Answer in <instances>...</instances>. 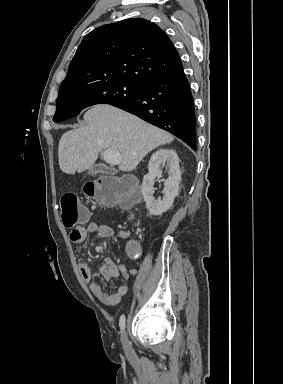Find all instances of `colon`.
Instances as JSON below:
<instances>
[{"label": "colon", "mask_w": 283, "mask_h": 384, "mask_svg": "<svg viewBox=\"0 0 283 384\" xmlns=\"http://www.w3.org/2000/svg\"><path fill=\"white\" fill-rule=\"evenodd\" d=\"M134 186L132 179L107 176L86 183L83 190L88 198L93 199L100 205L126 208L137 198ZM61 207L62 220L66 227L71 228L88 220V211L80 206L79 200L74 193H66L62 196ZM129 253L131 256L137 257L140 254V249L133 244L129 247Z\"/></svg>", "instance_id": "1"}]
</instances>
